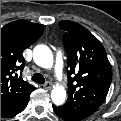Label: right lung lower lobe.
Returning a JSON list of instances; mask_svg holds the SVG:
<instances>
[{
  "mask_svg": "<svg viewBox=\"0 0 121 121\" xmlns=\"http://www.w3.org/2000/svg\"><path fill=\"white\" fill-rule=\"evenodd\" d=\"M28 101H29V97H27L23 102H21L19 105H17L13 109H11L1 115L7 116V117L17 115L18 113L22 112L26 108Z\"/></svg>",
  "mask_w": 121,
  "mask_h": 121,
  "instance_id": "obj_1",
  "label": "right lung lower lobe"
}]
</instances>
